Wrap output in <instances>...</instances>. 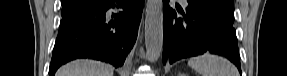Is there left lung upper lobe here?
Masks as SVG:
<instances>
[{"mask_svg": "<svg viewBox=\"0 0 287 76\" xmlns=\"http://www.w3.org/2000/svg\"><path fill=\"white\" fill-rule=\"evenodd\" d=\"M203 9L226 19L230 24L234 22V0H187Z\"/></svg>", "mask_w": 287, "mask_h": 76, "instance_id": "1", "label": "left lung upper lobe"}]
</instances>
